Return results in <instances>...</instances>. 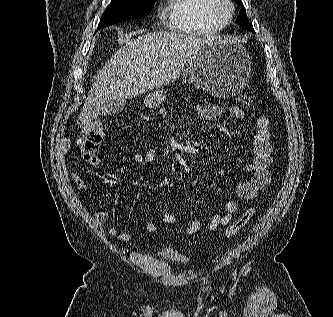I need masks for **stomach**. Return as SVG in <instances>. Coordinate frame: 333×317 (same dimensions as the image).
I'll return each mask as SVG.
<instances>
[{"label":"stomach","instance_id":"1","mask_svg":"<svg viewBox=\"0 0 333 317\" xmlns=\"http://www.w3.org/2000/svg\"><path fill=\"white\" fill-rule=\"evenodd\" d=\"M251 57L235 39L215 37L206 41L188 62V72L197 87L217 98L239 94L246 86ZM166 99L163 91L146 95L144 103L155 109Z\"/></svg>","mask_w":333,"mask_h":317}]
</instances>
